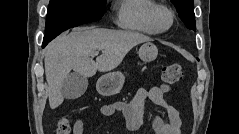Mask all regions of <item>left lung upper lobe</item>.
Wrapping results in <instances>:
<instances>
[{"mask_svg": "<svg viewBox=\"0 0 239 134\" xmlns=\"http://www.w3.org/2000/svg\"><path fill=\"white\" fill-rule=\"evenodd\" d=\"M177 9L179 17L185 23L188 29L196 30V22L194 19V3L193 0H171Z\"/></svg>", "mask_w": 239, "mask_h": 134, "instance_id": "1", "label": "left lung upper lobe"}]
</instances>
